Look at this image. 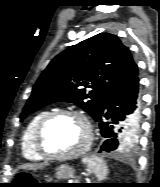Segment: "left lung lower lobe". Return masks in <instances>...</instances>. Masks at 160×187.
Wrapping results in <instances>:
<instances>
[{
	"mask_svg": "<svg viewBox=\"0 0 160 187\" xmlns=\"http://www.w3.org/2000/svg\"><path fill=\"white\" fill-rule=\"evenodd\" d=\"M139 81L138 66L134 63L124 81L110 90L103 99L94 118L99 123L102 136L106 138L99 152L115 150L123 130L126 131L138 125L141 109Z\"/></svg>",
	"mask_w": 160,
	"mask_h": 187,
	"instance_id": "obj_1",
	"label": "left lung lower lobe"
}]
</instances>
